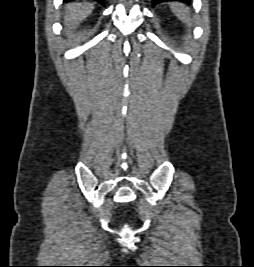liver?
I'll use <instances>...</instances> for the list:
<instances>
[{"label": "liver", "instance_id": "1", "mask_svg": "<svg viewBox=\"0 0 254 267\" xmlns=\"http://www.w3.org/2000/svg\"><path fill=\"white\" fill-rule=\"evenodd\" d=\"M65 9V24L67 29H72L92 13L94 5L91 3H70L66 5Z\"/></svg>", "mask_w": 254, "mask_h": 267}]
</instances>
